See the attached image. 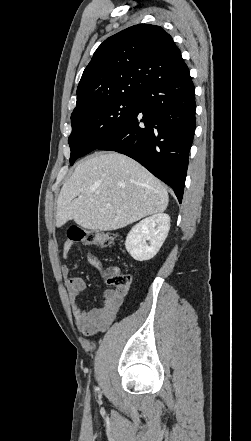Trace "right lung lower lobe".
Listing matches in <instances>:
<instances>
[{
	"instance_id": "1",
	"label": "right lung lower lobe",
	"mask_w": 251,
	"mask_h": 441,
	"mask_svg": "<svg viewBox=\"0 0 251 441\" xmlns=\"http://www.w3.org/2000/svg\"><path fill=\"white\" fill-rule=\"evenodd\" d=\"M194 92L188 67L154 83L126 123L97 149L138 161L172 187L181 203L196 127Z\"/></svg>"
}]
</instances>
